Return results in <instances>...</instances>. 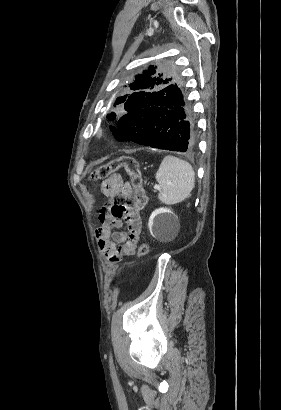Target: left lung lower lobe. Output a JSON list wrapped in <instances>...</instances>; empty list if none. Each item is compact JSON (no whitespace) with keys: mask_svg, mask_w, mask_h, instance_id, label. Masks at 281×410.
<instances>
[{"mask_svg":"<svg viewBox=\"0 0 281 410\" xmlns=\"http://www.w3.org/2000/svg\"><path fill=\"white\" fill-rule=\"evenodd\" d=\"M112 133L119 141L152 148L192 152L197 147L196 123L179 83L156 92L140 111L122 116Z\"/></svg>","mask_w":281,"mask_h":410,"instance_id":"obj_1","label":"left lung lower lobe"}]
</instances>
